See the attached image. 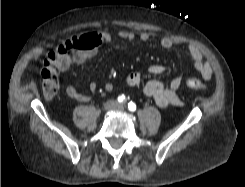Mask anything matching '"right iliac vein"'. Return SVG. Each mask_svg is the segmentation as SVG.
I'll return each instance as SVG.
<instances>
[{"mask_svg": "<svg viewBox=\"0 0 245 187\" xmlns=\"http://www.w3.org/2000/svg\"><path fill=\"white\" fill-rule=\"evenodd\" d=\"M116 106H117V102H115L114 100H109L104 104L103 109L105 111H109L111 109H114Z\"/></svg>", "mask_w": 245, "mask_h": 187, "instance_id": "1", "label": "right iliac vein"}]
</instances>
